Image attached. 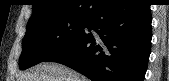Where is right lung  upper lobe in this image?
Wrapping results in <instances>:
<instances>
[{
	"label": "right lung upper lobe",
	"instance_id": "cb5924a9",
	"mask_svg": "<svg viewBox=\"0 0 169 81\" xmlns=\"http://www.w3.org/2000/svg\"><path fill=\"white\" fill-rule=\"evenodd\" d=\"M28 23L56 16H88L105 0H33Z\"/></svg>",
	"mask_w": 169,
	"mask_h": 81
}]
</instances>
